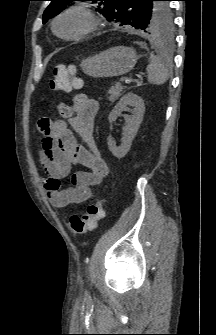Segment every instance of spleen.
I'll return each instance as SVG.
<instances>
[{
  "instance_id": "spleen-1",
  "label": "spleen",
  "mask_w": 216,
  "mask_h": 335,
  "mask_svg": "<svg viewBox=\"0 0 216 335\" xmlns=\"http://www.w3.org/2000/svg\"><path fill=\"white\" fill-rule=\"evenodd\" d=\"M148 82L156 85L165 83L170 75V70L161 55H150V63L146 68Z\"/></svg>"
}]
</instances>
